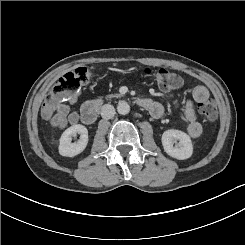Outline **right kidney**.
<instances>
[{
    "label": "right kidney",
    "instance_id": "obj_1",
    "mask_svg": "<svg viewBox=\"0 0 245 245\" xmlns=\"http://www.w3.org/2000/svg\"><path fill=\"white\" fill-rule=\"evenodd\" d=\"M77 134H80L79 141L72 143L73 137ZM88 141V129L81 124L72 125L60 137L59 154L63 157H75L86 149Z\"/></svg>",
    "mask_w": 245,
    "mask_h": 245
}]
</instances>
